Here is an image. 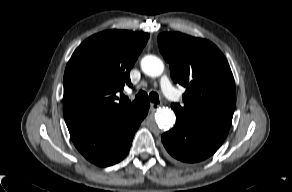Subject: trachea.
Segmentation results:
<instances>
[{"label": "trachea", "mask_w": 292, "mask_h": 192, "mask_svg": "<svg viewBox=\"0 0 292 192\" xmlns=\"http://www.w3.org/2000/svg\"><path fill=\"white\" fill-rule=\"evenodd\" d=\"M122 99L125 101H128V98L125 96H123ZM148 100H150L151 102H154V103H159L158 94L156 92H150V94L147 95V93L145 91H140L136 95L134 102L140 103V102H146Z\"/></svg>", "instance_id": "obj_1"}]
</instances>
